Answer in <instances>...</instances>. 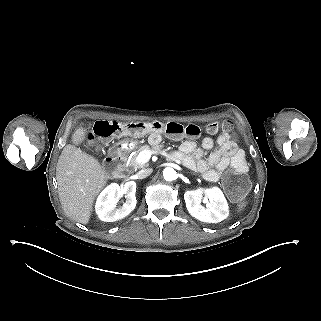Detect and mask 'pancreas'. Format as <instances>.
I'll list each match as a JSON object with an SVG mask.
<instances>
[{
	"label": "pancreas",
	"mask_w": 321,
	"mask_h": 321,
	"mask_svg": "<svg viewBox=\"0 0 321 321\" xmlns=\"http://www.w3.org/2000/svg\"><path fill=\"white\" fill-rule=\"evenodd\" d=\"M163 145H158V146H154V147H150L149 145H142V146H137L136 147V154L130 159L129 162V167L133 168V169H139V168H143L145 166H147V164H141L138 163L137 161V155L144 150H149V151H154L155 153H159L162 151Z\"/></svg>",
	"instance_id": "pancreas-1"
}]
</instances>
